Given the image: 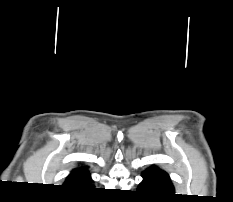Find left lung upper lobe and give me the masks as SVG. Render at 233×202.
<instances>
[{"label":"left lung upper lobe","instance_id":"1","mask_svg":"<svg viewBox=\"0 0 233 202\" xmlns=\"http://www.w3.org/2000/svg\"><path fill=\"white\" fill-rule=\"evenodd\" d=\"M155 167V166H154ZM156 169H159V168H157V167H155ZM160 170V169H159ZM160 171H162V170H160Z\"/></svg>","mask_w":233,"mask_h":202}]
</instances>
